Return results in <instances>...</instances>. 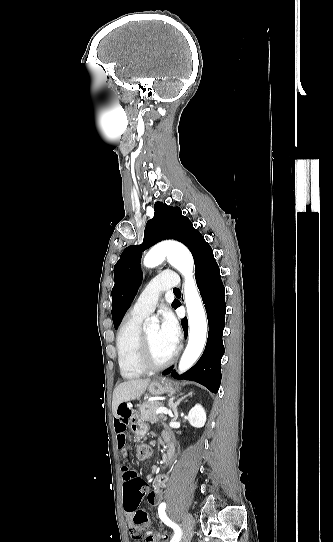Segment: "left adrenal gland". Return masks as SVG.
I'll return each mask as SVG.
<instances>
[{
	"mask_svg": "<svg viewBox=\"0 0 333 542\" xmlns=\"http://www.w3.org/2000/svg\"><path fill=\"white\" fill-rule=\"evenodd\" d=\"M180 396H182V398H175V396H170V400L168 402V406L169 408H171L173 414H174V418H172V420H177V418H179V414L177 412V406H179L180 402H182V400H185V398H188V396H192V392H190V394H187V396H183V394H180Z\"/></svg>",
	"mask_w": 333,
	"mask_h": 542,
	"instance_id": "a2214340",
	"label": "left adrenal gland"
}]
</instances>
